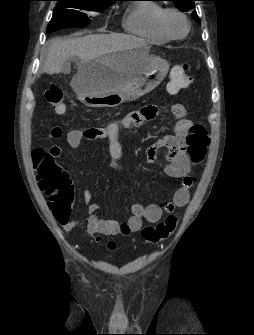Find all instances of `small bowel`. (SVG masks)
I'll return each instance as SVG.
<instances>
[{
    "label": "small bowel",
    "instance_id": "1",
    "mask_svg": "<svg viewBox=\"0 0 254 335\" xmlns=\"http://www.w3.org/2000/svg\"><path fill=\"white\" fill-rule=\"evenodd\" d=\"M156 114L154 106H145L139 110L128 113L124 118L108 124L104 128H89L71 130L67 135V142L73 149L78 148L84 140L102 139L108 142V149L111 156V168L121 170L124 156L123 147L119 141L118 134L120 128L140 126L145 121L152 119ZM169 115H175L178 119L174 126L173 135L166 137L146 149L147 161L153 163L157 159L161 148L167 150L165 172L168 176L181 180V185L175 192L172 202L166 203L163 208L156 204L144 206L140 203L131 205V216L126 222L102 219L95 212L99 206L91 202V193L85 191L83 195L84 203L88 215L86 217L88 231L92 234H104L109 236H127L138 232L143 221L156 223L160 220L163 212H171L175 207H183L188 204L190 198V187L192 180L189 176L191 164L186 153V138L192 122L186 117V109L183 104H171ZM63 130L55 126L51 128L49 137L58 140L62 137ZM50 199L48 198V201ZM62 228L69 232L79 222L72 219L70 209H66V218L57 217Z\"/></svg>",
    "mask_w": 254,
    "mask_h": 335
}]
</instances>
